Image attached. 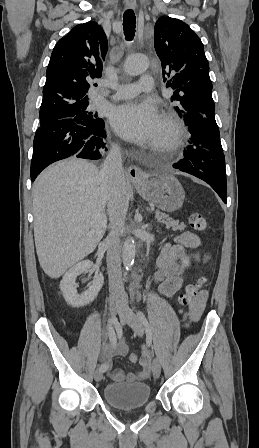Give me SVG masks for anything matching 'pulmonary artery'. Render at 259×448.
<instances>
[{"mask_svg": "<svg viewBox=\"0 0 259 448\" xmlns=\"http://www.w3.org/2000/svg\"><path fill=\"white\" fill-rule=\"evenodd\" d=\"M137 54L130 53L127 55L123 62V67L126 73L130 75H139L145 71V67L139 65L135 59ZM144 79L152 80V77L149 75H144ZM107 87L114 88L117 92L111 96L113 100L126 99L135 96L140 92L139 89H134L133 84H107ZM101 91V88H98ZM103 100H106L105 97H102Z\"/></svg>", "mask_w": 259, "mask_h": 448, "instance_id": "pulmonary-artery-1", "label": "pulmonary artery"}]
</instances>
